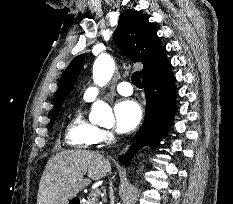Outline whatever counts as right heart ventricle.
Returning a JSON list of instances; mask_svg holds the SVG:
<instances>
[{
  "instance_id": "1",
  "label": "right heart ventricle",
  "mask_w": 233,
  "mask_h": 204,
  "mask_svg": "<svg viewBox=\"0 0 233 204\" xmlns=\"http://www.w3.org/2000/svg\"><path fill=\"white\" fill-rule=\"evenodd\" d=\"M84 102H88L84 98ZM99 128L85 117L83 104L73 112L65 132V140L74 148H88L98 143Z\"/></svg>"
}]
</instances>
